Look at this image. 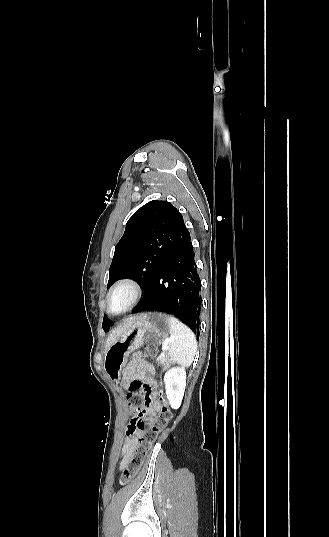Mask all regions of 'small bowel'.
<instances>
[{
  "label": "small bowel",
  "mask_w": 329,
  "mask_h": 537,
  "mask_svg": "<svg viewBox=\"0 0 329 537\" xmlns=\"http://www.w3.org/2000/svg\"><path fill=\"white\" fill-rule=\"evenodd\" d=\"M125 383L129 384L126 389L128 396H133L136 392L143 389V385L149 393V403L146 406V420L152 422L156 419L159 413L160 404L157 400L159 382L155 377V369L150 362L140 356H134L125 370ZM140 431L134 427L133 421L128 425L127 437L125 438L119 462V469L124 470L129 465L134 456L135 449L138 444Z\"/></svg>",
  "instance_id": "1"
}]
</instances>
